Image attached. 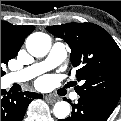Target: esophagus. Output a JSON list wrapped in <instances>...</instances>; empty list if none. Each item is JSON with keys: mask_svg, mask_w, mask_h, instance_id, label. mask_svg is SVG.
<instances>
[{"mask_svg": "<svg viewBox=\"0 0 121 121\" xmlns=\"http://www.w3.org/2000/svg\"><path fill=\"white\" fill-rule=\"evenodd\" d=\"M45 99L51 103H55L57 101V98L51 94L46 95Z\"/></svg>", "mask_w": 121, "mask_h": 121, "instance_id": "obj_1", "label": "esophagus"}]
</instances>
